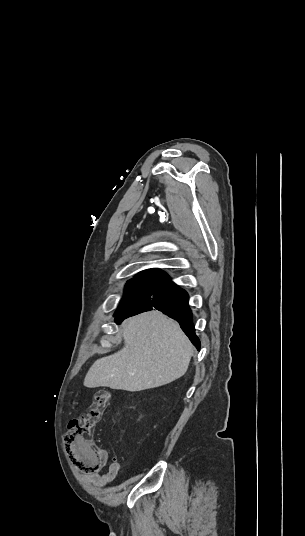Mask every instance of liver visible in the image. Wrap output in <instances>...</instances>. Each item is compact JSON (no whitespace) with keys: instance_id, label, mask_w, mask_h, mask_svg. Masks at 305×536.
Returning <instances> with one entry per match:
<instances>
[{"instance_id":"1","label":"liver","mask_w":305,"mask_h":536,"mask_svg":"<svg viewBox=\"0 0 305 536\" xmlns=\"http://www.w3.org/2000/svg\"><path fill=\"white\" fill-rule=\"evenodd\" d=\"M124 348L96 360L84 378L86 388L140 392L184 376L192 346L179 324L161 312H145L123 324Z\"/></svg>"}]
</instances>
